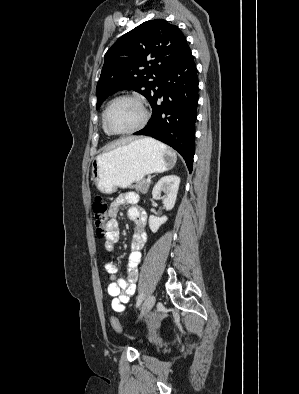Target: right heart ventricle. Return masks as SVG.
I'll use <instances>...</instances> for the list:
<instances>
[{"label":"right heart ventricle","mask_w":299,"mask_h":394,"mask_svg":"<svg viewBox=\"0 0 299 394\" xmlns=\"http://www.w3.org/2000/svg\"><path fill=\"white\" fill-rule=\"evenodd\" d=\"M103 114H104V113H103ZM102 126H103L104 132H105L106 134L110 135V133L106 130V128H105V126H104V123L102 124Z\"/></svg>","instance_id":"1"}]
</instances>
